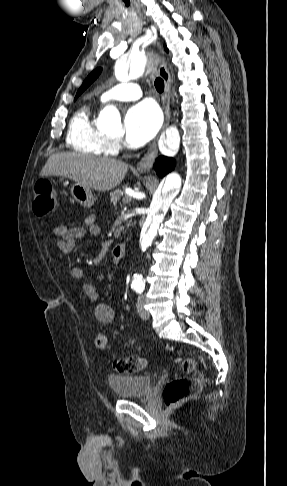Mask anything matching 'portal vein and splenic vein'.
<instances>
[{"label": "portal vein and splenic vein", "instance_id": "1", "mask_svg": "<svg viewBox=\"0 0 287 486\" xmlns=\"http://www.w3.org/2000/svg\"><path fill=\"white\" fill-rule=\"evenodd\" d=\"M130 200H131V199L127 197V198H124V199H123V202H124V203H129V202H130Z\"/></svg>", "mask_w": 287, "mask_h": 486}]
</instances>
